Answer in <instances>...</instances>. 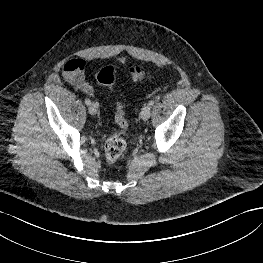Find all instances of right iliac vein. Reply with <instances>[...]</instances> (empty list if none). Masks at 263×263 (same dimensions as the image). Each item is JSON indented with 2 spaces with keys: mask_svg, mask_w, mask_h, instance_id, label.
Segmentation results:
<instances>
[{
  "mask_svg": "<svg viewBox=\"0 0 263 263\" xmlns=\"http://www.w3.org/2000/svg\"><path fill=\"white\" fill-rule=\"evenodd\" d=\"M88 111L91 115H95L98 111V104L97 103L90 104Z\"/></svg>",
  "mask_w": 263,
  "mask_h": 263,
  "instance_id": "right-iliac-vein-1",
  "label": "right iliac vein"
}]
</instances>
